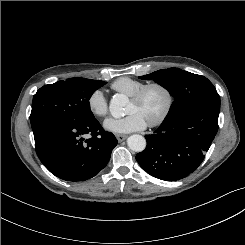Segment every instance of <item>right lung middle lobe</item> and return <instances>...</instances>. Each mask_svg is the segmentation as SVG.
I'll return each mask as SVG.
<instances>
[{"label": "right lung middle lobe", "instance_id": "1", "mask_svg": "<svg viewBox=\"0 0 245 245\" xmlns=\"http://www.w3.org/2000/svg\"><path fill=\"white\" fill-rule=\"evenodd\" d=\"M105 83L99 80L69 78L41 87L33 97L30 115L32 128L46 119L67 123L94 120L89 99Z\"/></svg>", "mask_w": 245, "mask_h": 245}]
</instances>
